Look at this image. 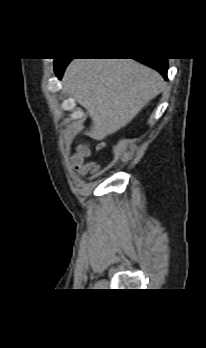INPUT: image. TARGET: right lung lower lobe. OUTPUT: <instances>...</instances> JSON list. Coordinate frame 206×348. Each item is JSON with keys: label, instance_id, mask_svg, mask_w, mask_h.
<instances>
[{"label": "right lung lower lobe", "instance_id": "1", "mask_svg": "<svg viewBox=\"0 0 206 348\" xmlns=\"http://www.w3.org/2000/svg\"><path fill=\"white\" fill-rule=\"evenodd\" d=\"M71 59L67 60H60L59 63L54 65L55 72L58 76V78L62 77V74L64 72V69L68 65ZM137 61L157 70L162 74V76L167 79V68H168V62L167 59H156V58H142V59H136Z\"/></svg>", "mask_w": 206, "mask_h": 348}]
</instances>
